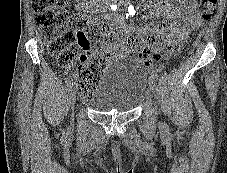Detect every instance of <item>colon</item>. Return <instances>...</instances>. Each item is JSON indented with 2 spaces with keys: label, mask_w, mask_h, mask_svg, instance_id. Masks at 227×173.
Segmentation results:
<instances>
[{
  "label": "colon",
  "mask_w": 227,
  "mask_h": 173,
  "mask_svg": "<svg viewBox=\"0 0 227 173\" xmlns=\"http://www.w3.org/2000/svg\"><path fill=\"white\" fill-rule=\"evenodd\" d=\"M64 0H32L35 23L47 44L49 53L57 64L65 69L79 63L77 85L82 96L88 97L94 90L107 63L106 51H92V43L102 40L113 28L101 20H90L73 15L63 9ZM217 0H200L199 13L203 21L211 19ZM131 48L139 60L152 66L161 59L160 50L166 45L162 35L133 38Z\"/></svg>",
  "instance_id": "5ec220e1"
}]
</instances>
